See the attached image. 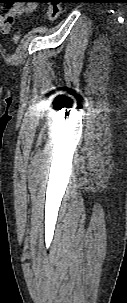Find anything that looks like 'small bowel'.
Here are the masks:
<instances>
[{
  "label": "small bowel",
  "instance_id": "obj_1",
  "mask_svg": "<svg viewBox=\"0 0 127 303\" xmlns=\"http://www.w3.org/2000/svg\"><path fill=\"white\" fill-rule=\"evenodd\" d=\"M26 3L11 5L6 11L0 13V27L8 32L16 18L22 14L33 12L36 9L34 0L21 1Z\"/></svg>",
  "mask_w": 127,
  "mask_h": 303
}]
</instances>
